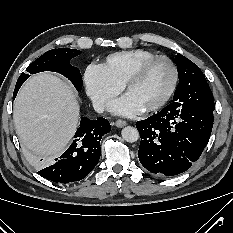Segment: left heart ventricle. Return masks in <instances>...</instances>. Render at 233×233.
Masks as SVG:
<instances>
[{
  "instance_id": "1",
  "label": "left heart ventricle",
  "mask_w": 233,
  "mask_h": 233,
  "mask_svg": "<svg viewBox=\"0 0 233 233\" xmlns=\"http://www.w3.org/2000/svg\"><path fill=\"white\" fill-rule=\"evenodd\" d=\"M168 62L159 60L151 64L142 77L133 83L127 94L143 109L159 101L172 81Z\"/></svg>"
}]
</instances>
